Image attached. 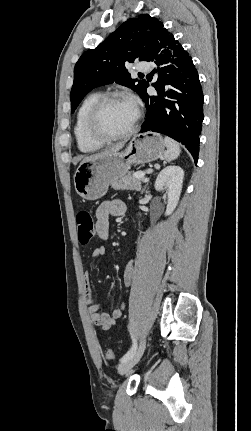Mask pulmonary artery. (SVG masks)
Listing matches in <instances>:
<instances>
[{
    "label": "pulmonary artery",
    "instance_id": "1",
    "mask_svg": "<svg viewBox=\"0 0 251 431\" xmlns=\"http://www.w3.org/2000/svg\"><path fill=\"white\" fill-rule=\"evenodd\" d=\"M136 70L139 72H148L151 70V65L147 62H140L136 65Z\"/></svg>",
    "mask_w": 251,
    "mask_h": 431
}]
</instances>
